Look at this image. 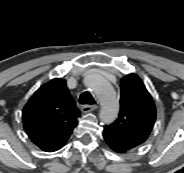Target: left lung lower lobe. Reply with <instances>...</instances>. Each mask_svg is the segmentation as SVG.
I'll return each instance as SVG.
<instances>
[{
	"label": "left lung lower lobe",
	"mask_w": 184,
	"mask_h": 173,
	"mask_svg": "<svg viewBox=\"0 0 184 173\" xmlns=\"http://www.w3.org/2000/svg\"><path fill=\"white\" fill-rule=\"evenodd\" d=\"M103 138L106 144L117 153H125L130 150V148L121 140L117 139L114 135L107 131H103Z\"/></svg>",
	"instance_id": "0a47b994"
}]
</instances>
